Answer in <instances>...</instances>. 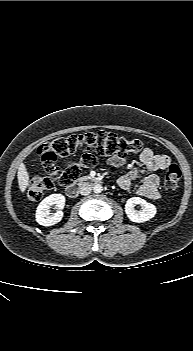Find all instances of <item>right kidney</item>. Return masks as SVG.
Returning a JSON list of instances; mask_svg holds the SVG:
<instances>
[{
    "mask_svg": "<svg viewBox=\"0 0 193 351\" xmlns=\"http://www.w3.org/2000/svg\"><path fill=\"white\" fill-rule=\"evenodd\" d=\"M55 205L59 209L56 213H50V207ZM65 206V196L62 194H51L43 199L36 210V221L42 226H52L63 218L61 211Z\"/></svg>",
    "mask_w": 193,
    "mask_h": 351,
    "instance_id": "right-kidney-1",
    "label": "right kidney"
}]
</instances>
